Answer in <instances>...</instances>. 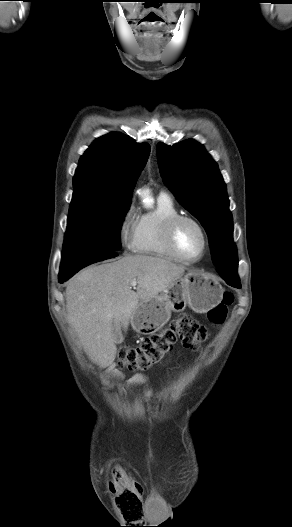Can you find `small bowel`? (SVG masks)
Masks as SVG:
<instances>
[{"mask_svg":"<svg viewBox=\"0 0 292 527\" xmlns=\"http://www.w3.org/2000/svg\"><path fill=\"white\" fill-rule=\"evenodd\" d=\"M111 375L112 377L122 380L124 379L123 373L118 369H111ZM128 385L132 388L137 386H143L144 387V396L146 399L150 398L152 395V388L149 384V379L145 374H136L132 376L130 379H128Z\"/></svg>","mask_w":292,"mask_h":527,"instance_id":"small-bowel-1","label":"small bowel"}]
</instances>
